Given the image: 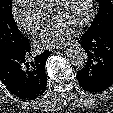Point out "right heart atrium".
<instances>
[{"mask_svg": "<svg viewBox=\"0 0 113 113\" xmlns=\"http://www.w3.org/2000/svg\"><path fill=\"white\" fill-rule=\"evenodd\" d=\"M11 14L18 27L29 35H35L44 24L45 17L25 0H13Z\"/></svg>", "mask_w": 113, "mask_h": 113, "instance_id": "1", "label": "right heart atrium"}]
</instances>
